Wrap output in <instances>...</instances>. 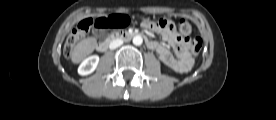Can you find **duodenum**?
Returning <instances> with one entry per match:
<instances>
[{"label":"duodenum","mask_w":276,"mask_h":120,"mask_svg":"<svg viewBox=\"0 0 276 120\" xmlns=\"http://www.w3.org/2000/svg\"><path fill=\"white\" fill-rule=\"evenodd\" d=\"M137 36H142V34L134 33V32H123V31L116 32L112 34L110 37H108L107 39H105L104 41L99 42L97 45V49L99 51H105L108 49L109 45L115 40H118V39L128 40ZM146 43L148 45L149 41L146 40Z\"/></svg>","instance_id":"410a0bca"}]
</instances>
